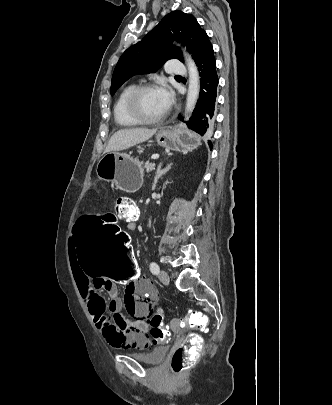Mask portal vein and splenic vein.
Wrapping results in <instances>:
<instances>
[{
  "label": "portal vein and splenic vein",
  "instance_id": "1",
  "mask_svg": "<svg viewBox=\"0 0 332 405\" xmlns=\"http://www.w3.org/2000/svg\"><path fill=\"white\" fill-rule=\"evenodd\" d=\"M158 158H159V155H157V154L152 156V159H154V160H155V159H158ZM154 166H155V164L153 165V167H154ZM153 167H151V168H153Z\"/></svg>",
  "mask_w": 332,
  "mask_h": 405
}]
</instances>
